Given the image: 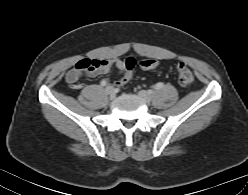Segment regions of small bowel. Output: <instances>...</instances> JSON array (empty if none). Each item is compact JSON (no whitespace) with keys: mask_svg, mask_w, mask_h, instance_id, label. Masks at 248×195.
I'll list each match as a JSON object with an SVG mask.
<instances>
[{"mask_svg":"<svg viewBox=\"0 0 248 195\" xmlns=\"http://www.w3.org/2000/svg\"><path fill=\"white\" fill-rule=\"evenodd\" d=\"M90 67L91 69L87 73L89 77L106 74L114 67L117 69L118 73L122 75V77L125 74L124 60L122 59H94L91 61ZM118 84H120V81Z\"/></svg>","mask_w":248,"mask_h":195,"instance_id":"obj_1","label":"small bowel"}]
</instances>
